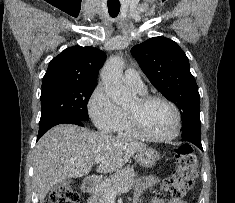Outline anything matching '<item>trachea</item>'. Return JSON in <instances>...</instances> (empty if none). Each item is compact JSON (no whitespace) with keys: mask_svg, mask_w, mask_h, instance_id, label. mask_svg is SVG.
Returning a JSON list of instances; mask_svg holds the SVG:
<instances>
[{"mask_svg":"<svg viewBox=\"0 0 235 203\" xmlns=\"http://www.w3.org/2000/svg\"><path fill=\"white\" fill-rule=\"evenodd\" d=\"M120 11V4H108V12L111 17H116Z\"/></svg>","mask_w":235,"mask_h":203,"instance_id":"obj_1","label":"trachea"}]
</instances>
